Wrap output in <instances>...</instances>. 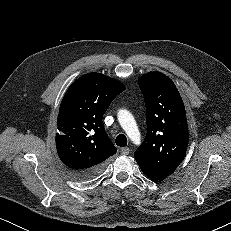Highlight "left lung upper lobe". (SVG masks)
<instances>
[{"label": "left lung upper lobe", "mask_w": 231, "mask_h": 231, "mask_svg": "<svg viewBox=\"0 0 231 231\" xmlns=\"http://www.w3.org/2000/svg\"><path fill=\"white\" fill-rule=\"evenodd\" d=\"M138 84L147 109V134L134 157L151 171L169 176L184 159L188 147L184 103L173 81L163 73L148 72Z\"/></svg>", "instance_id": "left-lung-upper-lobe-1"}]
</instances>
